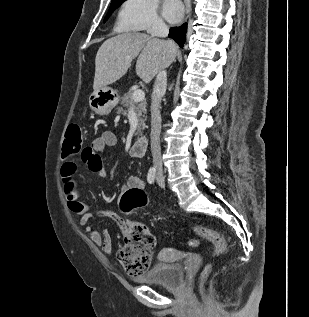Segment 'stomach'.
Listing matches in <instances>:
<instances>
[{"instance_id": "1", "label": "stomach", "mask_w": 309, "mask_h": 317, "mask_svg": "<svg viewBox=\"0 0 309 317\" xmlns=\"http://www.w3.org/2000/svg\"><path fill=\"white\" fill-rule=\"evenodd\" d=\"M118 103L117 91L107 86L94 90L89 97L90 108L99 115L109 114Z\"/></svg>"}]
</instances>
